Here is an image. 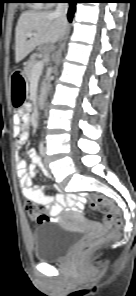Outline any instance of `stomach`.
<instances>
[{"instance_id": "obj_1", "label": "stomach", "mask_w": 136, "mask_h": 296, "mask_svg": "<svg viewBox=\"0 0 136 296\" xmlns=\"http://www.w3.org/2000/svg\"><path fill=\"white\" fill-rule=\"evenodd\" d=\"M11 74L12 84H26L23 69H14ZM27 85H11L10 98H12L13 108H23L24 101H28Z\"/></svg>"}]
</instances>
